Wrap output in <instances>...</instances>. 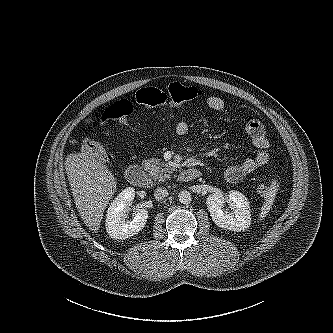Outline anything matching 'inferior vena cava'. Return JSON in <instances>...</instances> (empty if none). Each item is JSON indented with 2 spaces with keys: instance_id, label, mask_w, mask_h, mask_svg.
I'll return each instance as SVG.
<instances>
[{
  "instance_id": "602c4592",
  "label": "inferior vena cava",
  "mask_w": 333,
  "mask_h": 333,
  "mask_svg": "<svg viewBox=\"0 0 333 333\" xmlns=\"http://www.w3.org/2000/svg\"><path fill=\"white\" fill-rule=\"evenodd\" d=\"M168 196V191L166 188H157L154 192V197L156 200L161 201Z\"/></svg>"
}]
</instances>
